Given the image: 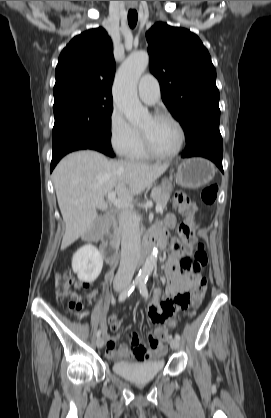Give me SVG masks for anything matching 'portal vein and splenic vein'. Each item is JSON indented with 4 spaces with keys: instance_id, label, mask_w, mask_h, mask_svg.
<instances>
[{
    "instance_id": "obj_1",
    "label": "portal vein and splenic vein",
    "mask_w": 271,
    "mask_h": 418,
    "mask_svg": "<svg viewBox=\"0 0 271 418\" xmlns=\"http://www.w3.org/2000/svg\"><path fill=\"white\" fill-rule=\"evenodd\" d=\"M108 200H109L110 203H112L117 208H131V209L133 208L132 204H130V203L124 201V200L117 199L116 198V193L114 191H111V192L108 193ZM155 210H156L157 213L162 212L161 204H157Z\"/></svg>"
}]
</instances>
